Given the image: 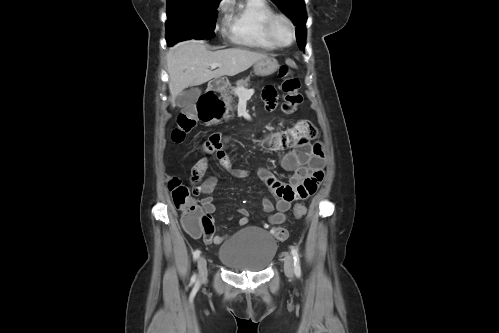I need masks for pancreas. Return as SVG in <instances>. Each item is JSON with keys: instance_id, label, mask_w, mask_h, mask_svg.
Returning a JSON list of instances; mask_svg holds the SVG:
<instances>
[{"instance_id": "obj_1", "label": "pancreas", "mask_w": 499, "mask_h": 333, "mask_svg": "<svg viewBox=\"0 0 499 333\" xmlns=\"http://www.w3.org/2000/svg\"><path fill=\"white\" fill-rule=\"evenodd\" d=\"M249 82H250V78L247 77L245 79L238 80L236 84H237V87L247 88L249 86ZM221 94H222L223 101H224L225 106H226V110L233 111L235 109V106L233 104L234 103L233 96L236 95L234 89L233 88H225Z\"/></svg>"}]
</instances>
